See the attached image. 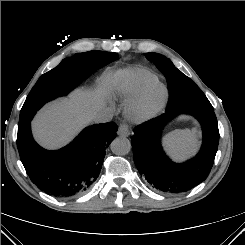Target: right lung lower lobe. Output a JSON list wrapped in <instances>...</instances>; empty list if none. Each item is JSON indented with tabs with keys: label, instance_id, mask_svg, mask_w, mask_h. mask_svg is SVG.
I'll list each match as a JSON object with an SVG mask.
<instances>
[{
	"label": "right lung lower lobe",
	"instance_id": "obj_1",
	"mask_svg": "<svg viewBox=\"0 0 245 245\" xmlns=\"http://www.w3.org/2000/svg\"><path fill=\"white\" fill-rule=\"evenodd\" d=\"M82 62L84 79L105 65L97 57H87ZM116 131L114 122L92 125L68 146L48 151L34 141L29 121L18 126L17 147L26 173L39 189L70 198L87 191L97 179L105 148L116 137Z\"/></svg>",
	"mask_w": 245,
	"mask_h": 245
}]
</instances>
